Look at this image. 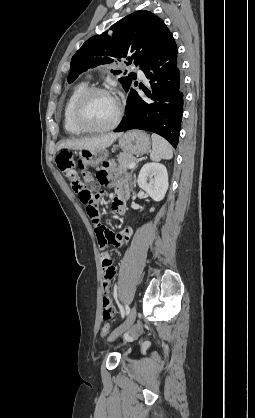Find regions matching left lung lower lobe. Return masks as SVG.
Wrapping results in <instances>:
<instances>
[{"label": "left lung lower lobe", "instance_id": "left-lung-lower-lobe-1", "mask_svg": "<svg viewBox=\"0 0 255 418\" xmlns=\"http://www.w3.org/2000/svg\"><path fill=\"white\" fill-rule=\"evenodd\" d=\"M141 70L150 80L151 90L141 98L129 89L126 115L115 132L141 129L157 133L173 147L178 144L183 114V76L177 46L172 37L167 45L151 56Z\"/></svg>", "mask_w": 255, "mask_h": 418}]
</instances>
